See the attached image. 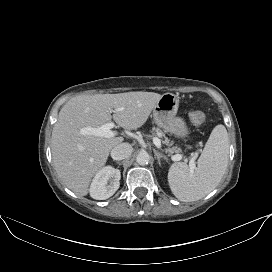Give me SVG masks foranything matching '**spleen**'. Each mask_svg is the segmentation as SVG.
I'll return each mask as SVG.
<instances>
[{
  "instance_id": "spleen-1",
  "label": "spleen",
  "mask_w": 272,
  "mask_h": 272,
  "mask_svg": "<svg viewBox=\"0 0 272 272\" xmlns=\"http://www.w3.org/2000/svg\"><path fill=\"white\" fill-rule=\"evenodd\" d=\"M229 157V138L224 125H217L198 159L195 171L183 162L174 163L168 182L174 196L183 202L196 201L209 194L221 181Z\"/></svg>"
}]
</instances>
